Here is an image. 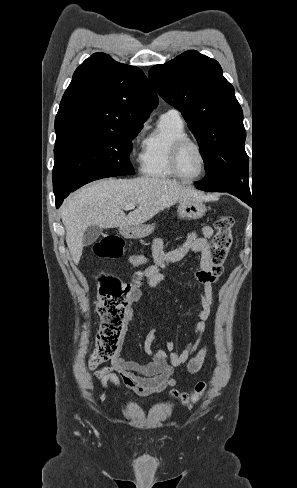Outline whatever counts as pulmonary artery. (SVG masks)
<instances>
[{
  "instance_id": "e3ab8cb5",
  "label": "pulmonary artery",
  "mask_w": 297,
  "mask_h": 488,
  "mask_svg": "<svg viewBox=\"0 0 297 488\" xmlns=\"http://www.w3.org/2000/svg\"><path fill=\"white\" fill-rule=\"evenodd\" d=\"M166 114H176V115H179L178 111L175 110V109L169 110Z\"/></svg>"
}]
</instances>
